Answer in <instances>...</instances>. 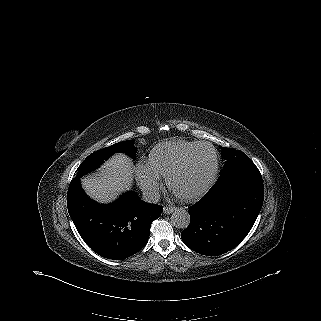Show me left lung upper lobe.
Instances as JSON below:
<instances>
[{"instance_id": "5c2ea615", "label": "left lung upper lobe", "mask_w": 321, "mask_h": 321, "mask_svg": "<svg viewBox=\"0 0 321 321\" xmlns=\"http://www.w3.org/2000/svg\"><path fill=\"white\" fill-rule=\"evenodd\" d=\"M220 148L222 150L221 155L223 159L226 160L223 169L229 166H232L234 164L250 160L249 157L240 150H235L233 148H226V147H220Z\"/></svg>"}]
</instances>
